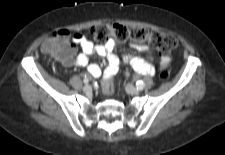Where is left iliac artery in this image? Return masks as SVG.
<instances>
[{
	"label": "left iliac artery",
	"mask_w": 225,
	"mask_h": 155,
	"mask_svg": "<svg viewBox=\"0 0 225 155\" xmlns=\"http://www.w3.org/2000/svg\"><path fill=\"white\" fill-rule=\"evenodd\" d=\"M144 86H145V83L143 81L140 80L136 82V87L138 90H142Z\"/></svg>",
	"instance_id": "1"
}]
</instances>
